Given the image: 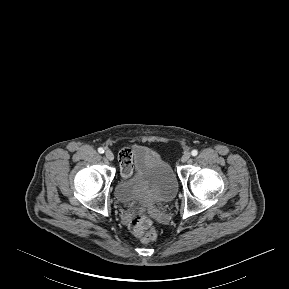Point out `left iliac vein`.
<instances>
[{"label":"left iliac vein","mask_w":289,"mask_h":289,"mask_svg":"<svg viewBox=\"0 0 289 289\" xmlns=\"http://www.w3.org/2000/svg\"><path fill=\"white\" fill-rule=\"evenodd\" d=\"M191 157V154L189 152H185L182 157H181V161L182 162H187Z\"/></svg>","instance_id":"4c4485c4"}]
</instances>
